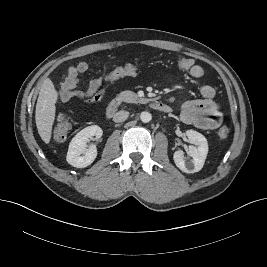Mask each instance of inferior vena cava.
I'll return each mask as SVG.
<instances>
[{
	"label": "inferior vena cava",
	"mask_w": 267,
	"mask_h": 267,
	"mask_svg": "<svg viewBox=\"0 0 267 267\" xmlns=\"http://www.w3.org/2000/svg\"><path fill=\"white\" fill-rule=\"evenodd\" d=\"M129 116V112L128 111H124V110H121V111H118L114 117H113V121L114 122H124Z\"/></svg>",
	"instance_id": "obj_1"
}]
</instances>
